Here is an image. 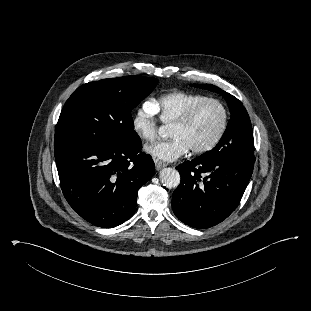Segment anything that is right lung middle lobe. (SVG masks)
<instances>
[{"mask_svg":"<svg viewBox=\"0 0 311 311\" xmlns=\"http://www.w3.org/2000/svg\"><path fill=\"white\" fill-rule=\"evenodd\" d=\"M157 84L156 78L126 76L80 86L62 109L54 146L81 143L122 147L139 142L131 111Z\"/></svg>","mask_w":311,"mask_h":311,"instance_id":"dd1d6c3e","label":"right lung middle lobe"}]
</instances>
